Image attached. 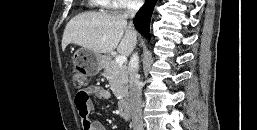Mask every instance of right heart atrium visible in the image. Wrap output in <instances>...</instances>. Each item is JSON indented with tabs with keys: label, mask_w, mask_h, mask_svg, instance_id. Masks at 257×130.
Segmentation results:
<instances>
[{
	"label": "right heart atrium",
	"mask_w": 257,
	"mask_h": 130,
	"mask_svg": "<svg viewBox=\"0 0 257 130\" xmlns=\"http://www.w3.org/2000/svg\"><path fill=\"white\" fill-rule=\"evenodd\" d=\"M107 8L125 9L137 6L141 0H107Z\"/></svg>",
	"instance_id": "obj_1"
}]
</instances>
